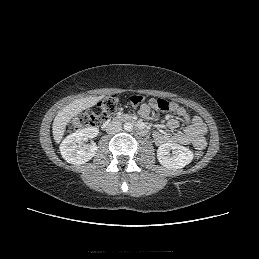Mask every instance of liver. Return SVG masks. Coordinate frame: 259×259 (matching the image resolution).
<instances>
[{
	"mask_svg": "<svg viewBox=\"0 0 259 259\" xmlns=\"http://www.w3.org/2000/svg\"><path fill=\"white\" fill-rule=\"evenodd\" d=\"M102 98L103 96L77 99L60 110L52 125V133L55 142L60 143L63 138L66 125L73 117L77 116L83 110L96 105Z\"/></svg>",
	"mask_w": 259,
	"mask_h": 259,
	"instance_id": "liver-1",
	"label": "liver"
}]
</instances>
